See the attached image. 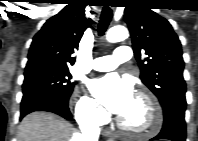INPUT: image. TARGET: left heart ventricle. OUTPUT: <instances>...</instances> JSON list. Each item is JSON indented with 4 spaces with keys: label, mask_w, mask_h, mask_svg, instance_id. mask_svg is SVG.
I'll return each instance as SVG.
<instances>
[{
    "label": "left heart ventricle",
    "mask_w": 198,
    "mask_h": 141,
    "mask_svg": "<svg viewBox=\"0 0 198 141\" xmlns=\"http://www.w3.org/2000/svg\"><path fill=\"white\" fill-rule=\"evenodd\" d=\"M121 119L131 127H146L149 123L146 105L142 101L135 98L130 108L123 115H121Z\"/></svg>",
    "instance_id": "obj_1"
}]
</instances>
